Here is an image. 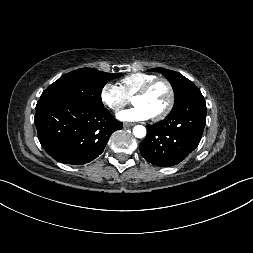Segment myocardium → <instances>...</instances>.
Listing matches in <instances>:
<instances>
[{"instance_id":"f54148a6","label":"myocardium","mask_w":253,"mask_h":253,"mask_svg":"<svg viewBox=\"0 0 253 253\" xmlns=\"http://www.w3.org/2000/svg\"><path fill=\"white\" fill-rule=\"evenodd\" d=\"M159 82H162L167 86L168 92H169V100H168L166 107L159 114L151 117L153 121L163 120L172 111L174 104H175V90H174L172 83L165 77H156L155 79H153L150 82H148L147 84H145L133 96V98H134L137 96H144V95L148 94L150 92V90Z\"/></svg>"}]
</instances>
